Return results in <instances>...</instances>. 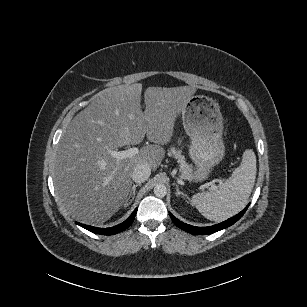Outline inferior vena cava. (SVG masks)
Segmentation results:
<instances>
[{
  "instance_id": "602c4592",
  "label": "inferior vena cava",
  "mask_w": 307,
  "mask_h": 307,
  "mask_svg": "<svg viewBox=\"0 0 307 307\" xmlns=\"http://www.w3.org/2000/svg\"><path fill=\"white\" fill-rule=\"evenodd\" d=\"M151 174V170L148 164L139 162L133 169L132 178L137 183L144 182Z\"/></svg>"
}]
</instances>
